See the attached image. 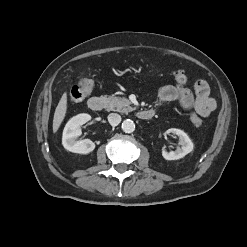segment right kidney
Wrapping results in <instances>:
<instances>
[{"mask_svg":"<svg viewBox=\"0 0 247 247\" xmlns=\"http://www.w3.org/2000/svg\"><path fill=\"white\" fill-rule=\"evenodd\" d=\"M89 120H91V116L82 113L67 122L62 136V144L65 149L79 154H88L95 149V144L90 139H77L81 135L80 126Z\"/></svg>","mask_w":247,"mask_h":247,"instance_id":"obj_1","label":"right kidney"}]
</instances>
